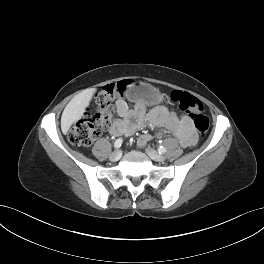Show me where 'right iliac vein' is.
<instances>
[{"instance_id":"63e3f726","label":"right iliac vein","mask_w":264,"mask_h":264,"mask_svg":"<svg viewBox=\"0 0 264 264\" xmlns=\"http://www.w3.org/2000/svg\"><path fill=\"white\" fill-rule=\"evenodd\" d=\"M121 155H122L121 151L120 150H116L113 153H111L110 160L111 161H117V160H119L121 158Z\"/></svg>"}]
</instances>
